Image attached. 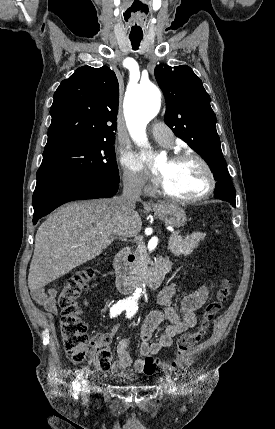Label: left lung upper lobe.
I'll list each match as a JSON object with an SVG mask.
<instances>
[{
    "label": "left lung upper lobe",
    "instance_id": "left-lung-upper-lobe-1",
    "mask_svg": "<svg viewBox=\"0 0 275 429\" xmlns=\"http://www.w3.org/2000/svg\"><path fill=\"white\" fill-rule=\"evenodd\" d=\"M154 77L166 99L165 123L209 164L218 181L215 193L235 203V188L216 131V115L202 81L186 65H157Z\"/></svg>",
    "mask_w": 275,
    "mask_h": 429
}]
</instances>
